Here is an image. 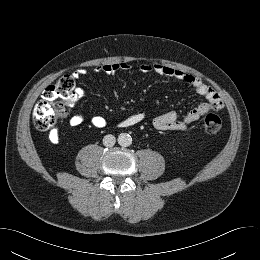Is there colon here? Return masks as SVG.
<instances>
[{
	"label": "colon",
	"mask_w": 260,
	"mask_h": 260,
	"mask_svg": "<svg viewBox=\"0 0 260 260\" xmlns=\"http://www.w3.org/2000/svg\"><path fill=\"white\" fill-rule=\"evenodd\" d=\"M77 99L75 81L71 75L60 77L49 85L33 111V122L41 131H54L59 119L66 112V107ZM221 119L217 114L209 113L203 118L204 130L217 134L221 129Z\"/></svg>",
	"instance_id": "obj_1"
}]
</instances>
